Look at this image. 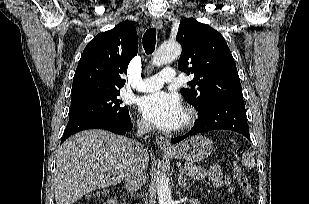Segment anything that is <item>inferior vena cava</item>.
I'll use <instances>...</instances> for the list:
<instances>
[{"instance_id":"602c4592","label":"inferior vena cava","mask_w":309,"mask_h":204,"mask_svg":"<svg viewBox=\"0 0 309 204\" xmlns=\"http://www.w3.org/2000/svg\"><path fill=\"white\" fill-rule=\"evenodd\" d=\"M151 125L148 122L141 121L138 123L137 136L143 137L151 130ZM133 156L125 175V184L127 191L134 193L139 190L147 179V151L138 141H132Z\"/></svg>"}]
</instances>
